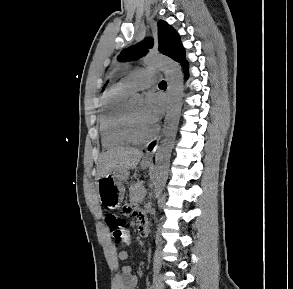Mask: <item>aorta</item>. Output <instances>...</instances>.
<instances>
[{"label":"aorta","mask_w":293,"mask_h":289,"mask_svg":"<svg viewBox=\"0 0 293 289\" xmlns=\"http://www.w3.org/2000/svg\"><path fill=\"white\" fill-rule=\"evenodd\" d=\"M148 68H160L164 71L168 83V108L165 117L162 138L157 147L155 158V173L153 178L154 197L157 199L168 176L171 151L177 133L182 97L184 92L183 74L180 67L170 59L149 56L144 59ZM133 100L142 101V96L135 94Z\"/></svg>","instance_id":"obj_1"}]
</instances>
